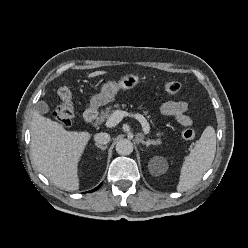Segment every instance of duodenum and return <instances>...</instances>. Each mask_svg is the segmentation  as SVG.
<instances>
[{
  "label": "duodenum",
  "mask_w": 248,
  "mask_h": 248,
  "mask_svg": "<svg viewBox=\"0 0 248 248\" xmlns=\"http://www.w3.org/2000/svg\"><path fill=\"white\" fill-rule=\"evenodd\" d=\"M98 117L97 109L94 107L88 108L84 113V122L87 124L93 123Z\"/></svg>",
  "instance_id": "410a0bca"
}]
</instances>
